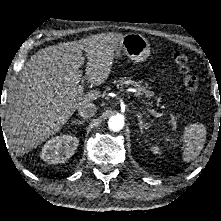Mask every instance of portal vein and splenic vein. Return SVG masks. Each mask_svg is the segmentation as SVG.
I'll return each instance as SVG.
<instances>
[{
  "label": "portal vein and splenic vein",
  "instance_id": "obj_1",
  "mask_svg": "<svg viewBox=\"0 0 221 221\" xmlns=\"http://www.w3.org/2000/svg\"><path fill=\"white\" fill-rule=\"evenodd\" d=\"M84 90V86L82 84L77 86V91L79 94H82ZM148 111L154 115L156 118H164L161 113L156 112L154 109L148 108Z\"/></svg>",
  "mask_w": 221,
  "mask_h": 221
}]
</instances>
